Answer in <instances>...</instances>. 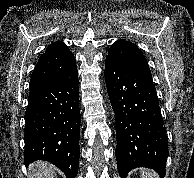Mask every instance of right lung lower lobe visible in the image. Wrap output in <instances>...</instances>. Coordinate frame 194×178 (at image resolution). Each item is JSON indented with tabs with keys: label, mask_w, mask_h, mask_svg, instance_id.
Returning <instances> with one entry per match:
<instances>
[{
	"label": "right lung lower lobe",
	"mask_w": 194,
	"mask_h": 178,
	"mask_svg": "<svg viewBox=\"0 0 194 178\" xmlns=\"http://www.w3.org/2000/svg\"><path fill=\"white\" fill-rule=\"evenodd\" d=\"M78 73L32 88L25 113L24 164L45 160L75 178L80 148Z\"/></svg>",
	"instance_id": "obj_1"
}]
</instances>
